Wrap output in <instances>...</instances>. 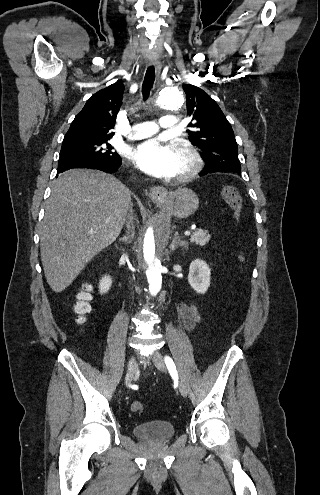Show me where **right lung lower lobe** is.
Returning a JSON list of instances; mask_svg holds the SVG:
<instances>
[{
    "label": "right lung lower lobe",
    "mask_w": 320,
    "mask_h": 495,
    "mask_svg": "<svg viewBox=\"0 0 320 495\" xmlns=\"http://www.w3.org/2000/svg\"><path fill=\"white\" fill-rule=\"evenodd\" d=\"M121 158L116 161H84V162H74L71 164H66L58 167L57 173H62L69 169L74 168H91L101 170L107 173H113L118 170L121 166Z\"/></svg>",
    "instance_id": "right-lung-lower-lobe-1"
}]
</instances>
